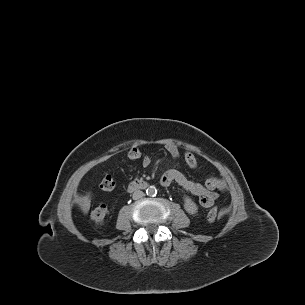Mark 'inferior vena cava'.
<instances>
[{"label": "inferior vena cava", "instance_id": "obj_1", "mask_svg": "<svg viewBox=\"0 0 305 305\" xmlns=\"http://www.w3.org/2000/svg\"><path fill=\"white\" fill-rule=\"evenodd\" d=\"M143 196H144V193L140 190H137L133 193L132 198L134 200H138V199L142 198Z\"/></svg>", "mask_w": 305, "mask_h": 305}]
</instances>
